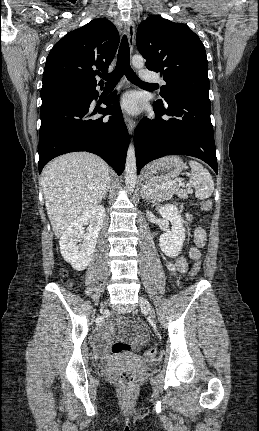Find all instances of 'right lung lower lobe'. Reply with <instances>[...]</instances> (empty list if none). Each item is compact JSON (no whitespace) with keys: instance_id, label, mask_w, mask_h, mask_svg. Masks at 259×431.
Instances as JSON below:
<instances>
[{"instance_id":"obj_1","label":"right lung lower lobe","mask_w":259,"mask_h":431,"mask_svg":"<svg viewBox=\"0 0 259 431\" xmlns=\"http://www.w3.org/2000/svg\"><path fill=\"white\" fill-rule=\"evenodd\" d=\"M95 88L69 91L42 98L39 133V173L53 158L87 151L103 158L120 175L124 169L129 134L117 100V92L104 101L106 108L92 110ZM96 113L108 118H93Z\"/></svg>"}]
</instances>
